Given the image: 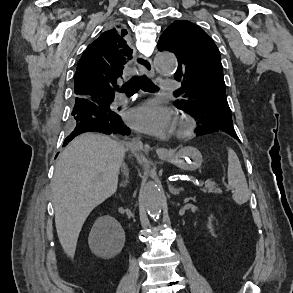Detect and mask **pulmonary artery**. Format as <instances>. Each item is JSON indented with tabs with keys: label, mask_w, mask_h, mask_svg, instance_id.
<instances>
[{
	"label": "pulmonary artery",
	"mask_w": 293,
	"mask_h": 293,
	"mask_svg": "<svg viewBox=\"0 0 293 293\" xmlns=\"http://www.w3.org/2000/svg\"><path fill=\"white\" fill-rule=\"evenodd\" d=\"M160 86H161V89L164 91H173L178 89L179 84L173 80L163 79L160 81ZM125 101H126V98L122 95L118 96L116 99L117 104H123L125 103Z\"/></svg>",
	"instance_id": "pulmonary-artery-1"
}]
</instances>
